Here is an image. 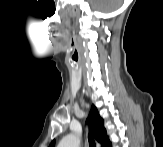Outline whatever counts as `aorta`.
<instances>
[{"label": "aorta", "mask_w": 163, "mask_h": 147, "mask_svg": "<svg viewBox=\"0 0 163 147\" xmlns=\"http://www.w3.org/2000/svg\"><path fill=\"white\" fill-rule=\"evenodd\" d=\"M80 140L74 134L65 136L59 143V147H79Z\"/></svg>", "instance_id": "1"}]
</instances>
